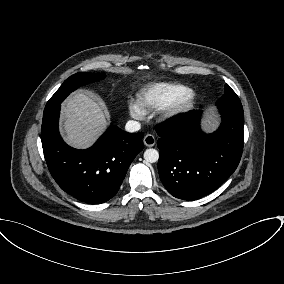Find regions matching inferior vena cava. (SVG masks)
Listing matches in <instances>:
<instances>
[{"mask_svg": "<svg viewBox=\"0 0 284 284\" xmlns=\"http://www.w3.org/2000/svg\"><path fill=\"white\" fill-rule=\"evenodd\" d=\"M141 124L138 121L129 120L126 123L125 129L127 132L133 133L140 130Z\"/></svg>", "mask_w": 284, "mask_h": 284, "instance_id": "1", "label": "inferior vena cava"}]
</instances>
